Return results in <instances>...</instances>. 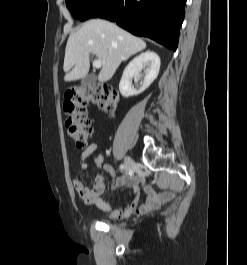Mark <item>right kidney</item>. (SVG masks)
I'll return each mask as SVG.
<instances>
[{
  "instance_id": "1",
  "label": "right kidney",
  "mask_w": 247,
  "mask_h": 265,
  "mask_svg": "<svg viewBox=\"0 0 247 265\" xmlns=\"http://www.w3.org/2000/svg\"><path fill=\"white\" fill-rule=\"evenodd\" d=\"M145 70L143 85L137 90L132 87V77L141 74ZM160 69V58L153 51H147L135 57L125 68L119 90L122 96L138 95L146 90L157 78Z\"/></svg>"
}]
</instances>
